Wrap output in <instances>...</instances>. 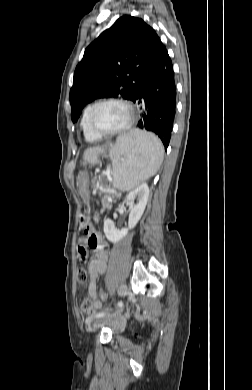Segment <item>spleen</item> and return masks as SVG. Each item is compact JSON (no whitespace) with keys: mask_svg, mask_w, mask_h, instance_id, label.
<instances>
[{"mask_svg":"<svg viewBox=\"0 0 252 390\" xmlns=\"http://www.w3.org/2000/svg\"><path fill=\"white\" fill-rule=\"evenodd\" d=\"M124 156L121 163L116 161ZM164 155L160 139L152 133L132 130L119 136L117 144L110 152L114 158L112 169L113 185L122 191H130L155 175Z\"/></svg>","mask_w":252,"mask_h":390,"instance_id":"1","label":"spleen"}]
</instances>
